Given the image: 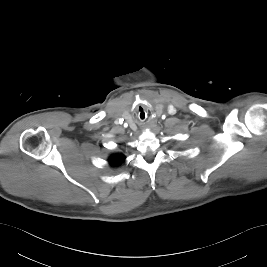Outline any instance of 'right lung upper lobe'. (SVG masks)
<instances>
[{
	"label": "right lung upper lobe",
	"mask_w": 267,
	"mask_h": 267,
	"mask_svg": "<svg viewBox=\"0 0 267 267\" xmlns=\"http://www.w3.org/2000/svg\"><path fill=\"white\" fill-rule=\"evenodd\" d=\"M125 158L123 154H114L109 158V163L112 167H117L124 162Z\"/></svg>",
	"instance_id": "right-lung-upper-lobe-1"
}]
</instances>
